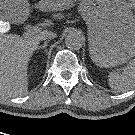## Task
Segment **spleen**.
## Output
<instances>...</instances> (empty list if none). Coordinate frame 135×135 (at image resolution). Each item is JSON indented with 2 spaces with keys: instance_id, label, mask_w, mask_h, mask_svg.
Listing matches in <instances>:
<instances>
[{
  "instance_id": "3e777b00",
  "label": "spleen",
  "mask_w": 135,
  "mask_h": 135,
  "mask_svg": "<svg viewBox=\"0 0 135 135\" xmlns=\"http://www.w3.org/2000/svg\"><path fill=\"white\" fill-rule=\"evenodd\" d=\"M109 86L117 92H126L135 87V59L131 60L122 73L113 71L108 75Z\"/></svg>"
}]
</instances>
